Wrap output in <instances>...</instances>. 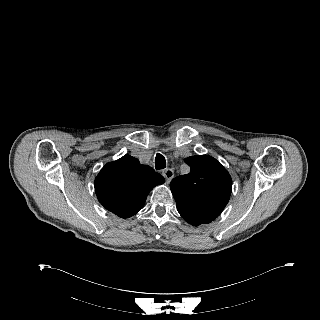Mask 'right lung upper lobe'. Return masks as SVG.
Masks as SVG:
<instances>
[{"label": "right lung upper lobe", "mask_w": 320, "mask_h": 320, "mask_svg": "<svg viewBox=\"0 0 320 320\" xmlns=\"http://www.w3.org/2000/svg\"><path fill=\"white\" fill-rule=\"evenodd\" d=\"M164 178L150 166L125 155L107 163L95 178L99 202L121 218H129L141 210L149 192L163 184Z\"/></svg>", "instance_id": "right-lung-upper-lobe-1"}]
</instances>
